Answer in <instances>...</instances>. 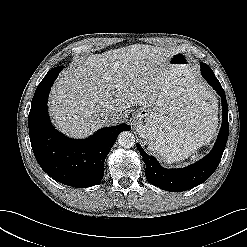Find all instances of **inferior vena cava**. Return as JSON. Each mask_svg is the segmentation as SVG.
<instances>
[{"instance_id": "inferior-vena-cava-1", "label": "inferior vena cava", "mask_w": 247, "mask_h": 247, "mask_svg": "<svg viewBox=\"0 0 247 247\" xmlns=\"http://www.w3.org/2000/svg\"><path fill=\"white\" fill-rule=\"evenodd\" d=\"M101 116L105 120H110L119 116V112L116 107L108 105L101 113Z\"/></svg>"}]
</instances>
